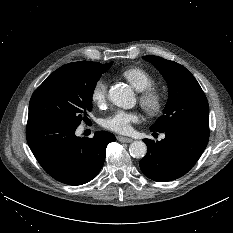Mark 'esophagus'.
<instances>
[{"instance_id": "obj_1", "label": "esophagus", "mask_w": 233, "mask_h": 233, "mask_svg": "<svg viewBox=\"0 0 233 233\" xmlns=\"http://www.w3.org/2000/svg\"><path fill=\"white\" fill-rule=\"evenodd\" d=\"M117 140H119L120 142H124V143H130L133 141L132 138L124 137V136H118Z\"/></svg>"}]
</instances>
